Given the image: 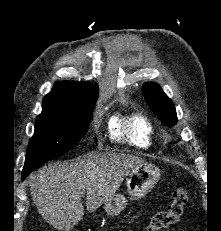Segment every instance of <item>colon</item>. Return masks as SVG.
Instances as JSON below:
<instances>
[{
  "instance_id": "obj_1",
  "label": "colon",
  "mask_w": 221,
  "mask_h": 231,
  "mask_svg": "<svg viewBox=\"0 0 221 231\" xmlns=\"http://www.w3.org/2000/svg\"><path fill=\"white\" fill-rule=\"evenodd\" d=\"M188 201L187 190L183 187L173 192L172 202L168 209L155 214L146 224L144 231H161L176 224L183 214Z\"/></svg>"
}]
</instances>
